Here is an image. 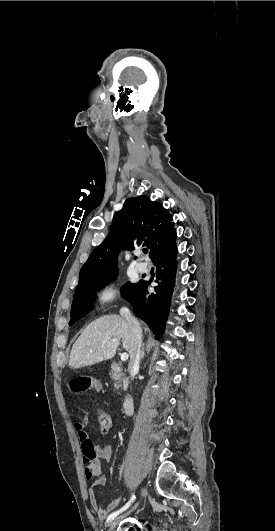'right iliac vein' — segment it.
I'll use <instances>...</instances> for the list:
<instances>
[{"label":"right iliac vein","mask_w":275,"mask_h":531,"mask_svg":"<svg viewBox=\"0 0 275 531\" xmlns=\"http://www.w3.org/2000/svg\"><path fill=\"white\" fill-rule=\"evenodd\" d=\"M145 494H146V489L143 487V488H142V495H145ZM136 506H137V505H136ZM121 518H123V516H120V517H118L116 520H114V521L111 523V525H110L108 531H115V529H116V527H117V524H118V521H119Z\"/></svg>","instance_id":"right-iliac-vein-1"}]
</instances>
